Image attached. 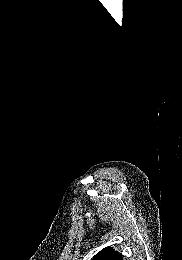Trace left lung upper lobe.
Masks as SVG:
<instances>
[{"label": "left lung upper lobe", "instance_id": "obj_1", "mask_svg": "<svg viewBox=\"0 0 182 260\" xmlns=\"http://www.w3.org/2000/svg\"><path fill=\"white\" fill-rule=\"evenodd\" d=\"M92 260H123L120 253L113 250L111 247H106L98 252Z\"/></svg>", "mask_w": 182, "mask_h": 260}]
</instances>
